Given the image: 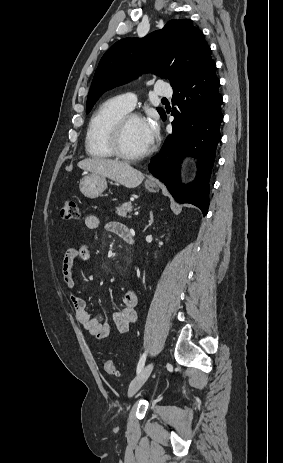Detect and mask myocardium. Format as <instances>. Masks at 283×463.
Returning <instances> with one entry per match:
<instances>
[{"label": "myocardium", "mask_w": 283, "mask_h": 463, "mask_svg": "<svg viewBox=\"0 0 283 463\" xmlns=\"http://www.w3.org/2000/svg\"><path fill=\"white\" fill-rule=\"evenodd\" d=\"M132 119H138V120H143L142 116L139 115L138 113L134 112H128L121 117H119L116 122L113 124V126L110 129L109 136H108V145L110 147V150L112 151L113 155L126 161H137V160H142L146 157H148L152 151L153 148L150 147L146 151L139 153V154H130L127 153L123 147H122V137L124 130L126 128V125L132 120Z\"/></svg>", "instance_id": "obj_1"}]
</instances>
